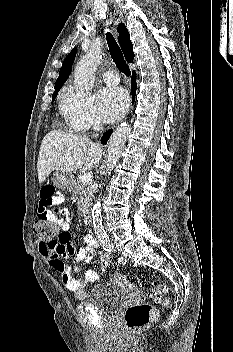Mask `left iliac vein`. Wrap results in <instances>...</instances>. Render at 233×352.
Listing matches in <instances>:
<instances>
[{
  "mask_svg": "<svg viewBox=\"0 0 233 352\" xmlns=\"http://www.w3.org/2000/svg\"><path fill=\"white\" fill-rule=\"evenodd\" d=\"M122 257L124 258L125 262L129 259V253L127 251H122Z\"/></svg>",
  "mask_w": 233,
  "mask_h": 352,
  "instance_id": "left-iliac-vein-1",
  "label": "left iliac vein"
}]
</instances>
